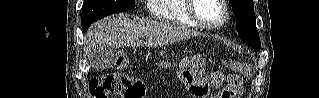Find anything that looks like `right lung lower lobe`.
Listing matches in <instances>:
<instances>
[{
  "instance_id": "right-lung-lower-lobe-1",
  "label": "right lung lower lobe",
  "mask_w": 319,
  "mask_h": 98,
  "mask_svg": "<svg viewBox=\"0 0 319 98\" xmlns=\"http://www.w3.org/2000/svg\"><path fill=\"white\" fill-rule=\"evenodd\" d=\"M89 26H90V24L87 25V26H83V27H82L83 31H84V32L87 31V29H88Z\"/></svg>"
}]
</instances>
